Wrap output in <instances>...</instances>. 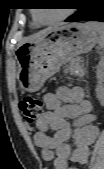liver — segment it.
Here are the masks:
<instances>
[{
	"label": "liver",
	"instance_id": "liver-1",
	"mask_svg": "<svg viewBox=\"0 0 104 169\" xmlns=\"http://www.w3.org/2000/svg\"><path fill=\"white\" fill-rule=\"evenodd\" d=\"M50 29H51V28L44 30L43 32H41V34L44 33V32H46V31H48V30H50Z\"/></svg>",
	"mask_w": 104,
	"mask_h": 169
}]
</instances>
